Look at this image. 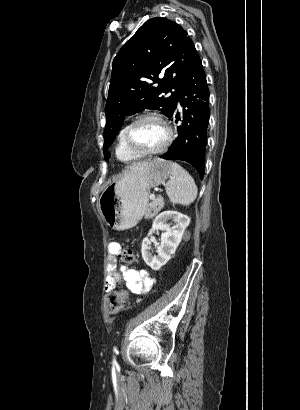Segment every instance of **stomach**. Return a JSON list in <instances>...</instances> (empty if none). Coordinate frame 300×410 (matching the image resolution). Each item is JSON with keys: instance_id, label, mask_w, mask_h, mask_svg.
<instances>
[{"instance_id": "1", "label": "stomach", "mask_w": 300, "mask_h": 410, "mask_svg": "<svg viewBox=\"0 0 300 410\" xmlns=\"http://www.w3.org/2000/svg\"><path fill=\"white\" fill-rule=\"evenodd\" d=\"M170 175L171 163L161 159L130 168L120 180L105 188L99 198V209L107 225L115 230L134 227L147 209L150 189Z\"/></svg>"}]
</instances>
